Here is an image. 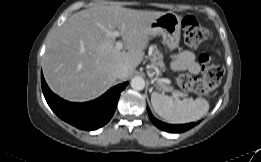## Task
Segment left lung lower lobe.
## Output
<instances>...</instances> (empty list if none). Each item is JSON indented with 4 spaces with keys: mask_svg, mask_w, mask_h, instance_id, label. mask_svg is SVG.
<instances>
[{
    "mask_svg": "<svg viewBox=\"0 0 261 162\" xmlns=\"http://www.w3.org/2000/svg\"><path fill=\"white\" fill-rule=\"evenodd\" d=\"M149 117L151 122L159 129L166 131V132H171V133H179V132H184L192 127H194L197 123H189V124H180V125H171V124H167L164 122H161L159 120H157L156 118L153 117V115L151 114L150 110L147 108Z\"/></svg>",
    "mask_w": 261,
    "mask_h": 162,
    "instance_id": "left-lung-lower-lobe-1",
    "label": "left lung lower lobe"
}]
</instances>
